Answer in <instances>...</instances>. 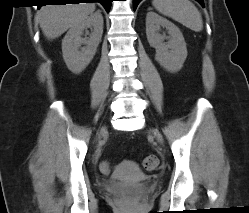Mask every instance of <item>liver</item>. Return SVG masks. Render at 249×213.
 Segmentation results:
<instances>
[{
    "label": "liver",
    "mask_w": 249,
    "mask_h": 213,
    "mask_svg": "<svg viewBox=\"0 0 249 213\" xmlns=\"http://www.w3.org/2000/svg\"><path fill=\"white\" fill-rule=\"evenodd\" d=\"M94 3L42 6L37 19L47 39H56L95 11Z\"/></svg>",
    "instance_id": "1"
}]
</instances>
